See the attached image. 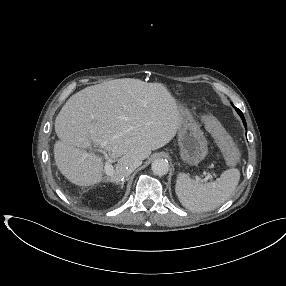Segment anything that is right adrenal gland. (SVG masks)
I'll list each match as a JSON object with an SVG mask.
<instances>
[{
	"instance_id": "2a0ac1e0",
	"label": "right adrenal gland",
	"mask_w": 286,
	"mask_h": 286,
	"mask_svg": "<svg viewBox=\"0 0 286 286\" xmlns=\"http://www.w3.org/2000/svg\"><path fill=\"white\" fill-rule=\"evenodd\" d=\"M126 180H122V182L120 183L121 185V189L124 187V183H125Z\"/></svg>"
}]
</instances>
